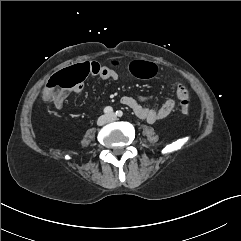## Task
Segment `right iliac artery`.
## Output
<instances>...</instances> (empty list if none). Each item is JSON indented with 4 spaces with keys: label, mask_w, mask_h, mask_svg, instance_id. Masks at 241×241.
Masks as SVG:
<instances>
[{
    "label": "right iliac artery",
    "mask_w": 241,
    "mask_h": 241,
    "mask_svg": "<svg viewBox=\"0 0 241 241\" xmlns=\"http://www.w3.org/2000/svg\"><path fill=\"white\" fill-rule=\"evenodd\" d=\"M112 112H113V108H112V107L107 106V107L104 108V113L110 114V113H112Z\"/></svg>",
    "instance_id": "obj_1"
}]
</instances>
